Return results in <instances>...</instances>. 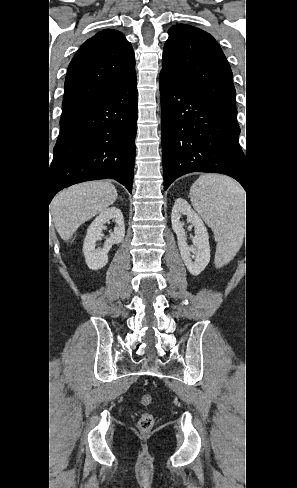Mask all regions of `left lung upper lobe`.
<instances>
[{"mask_svg":"<svg viewBox=\"0 0 297 488\" xmlns=\"http://www.w3.org/2000/svg\"><path fill=\"white\" fill-rule=\"evenodd\" d=\"M161 73L184 90L237 116L231 68L207 32L190 25L172 26L163 50Z\"/></svg>","mask_w":297,"mask_h":488,"instance_id":"1","label":"left lung upper lobe"}]
</instances>
